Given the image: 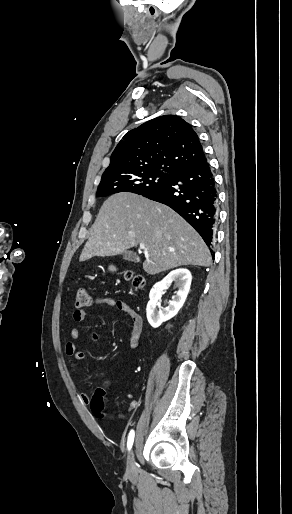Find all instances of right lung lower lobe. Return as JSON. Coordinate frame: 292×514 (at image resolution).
<instances>
[{
	"instance_id": "right-lung-lower-lobe-1",
	"label": "right lung lower lobe",
	"mask_w": 292,
	"mask_h": 514,
	"mask_svg": "<svg viewBox=\"0 0 292 514\" xmlns=\"http://www.w3.org/2000/svg\"><path fill=\"white\" fill-rule=\"evenodd\" d=\"M143 196L171 207L211 246L218 196L206 157L172 174L164 184Z\"/></svg>"
}]
</instances>
